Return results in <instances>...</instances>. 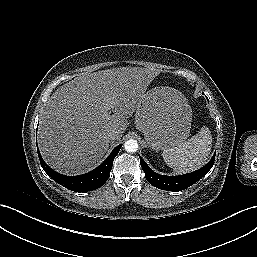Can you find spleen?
Wrapping results in <instances>:
<instances>
[{"mask_svg": "<svg viewBox=\"0 0 257 257\" xmlns=\"http://www.w3.org/2000/svg\"><path fill=\"white\" fill-rule=\"evenodd\" d=\"M211 147L212 135L208 127L204 126L187 141L165 149L162 156L165 163L176 173L185 174L206 164Z\"/></svg>", "mask_w": 257, "mask_h": 257, "instance_id": "spleen-1", "label": "spleen"}]
</instances>
